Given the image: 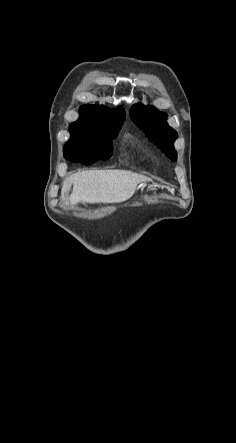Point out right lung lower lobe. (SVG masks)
<instances>
[{"mask_svg":"<svg viewBox=\"0 0 236 443\" xmlns=\"http://www.w3.org/2000/svg\"><path fill=\"white\" fill-rule=\"evenodd\" d=\"M63 152L64 157L71 162H80L84 165H90L99 159H109L113 150H106L93 146H73L64 148Z\"/></svg>","mask_w":236,"mask_h":443,"instance_id":"1","label":"right lung lower lobe"}]
</instances>
